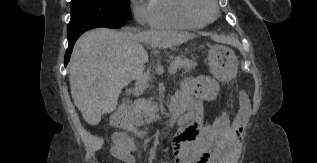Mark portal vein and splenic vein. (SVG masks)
<instances>
[{
    "label": "portal vein and splenic vein",
    "instance_id": "18ae733b",
    "mask_svg": "<svg viewBox=\"0 0 317 163\" xmlns=\"http://www.w3.org/2000/svg\"><path fill=\"white\" fill-rule=\"evenodd\" d=\"M169 71H170V73H173V74L176 72V70L174 68H169Z\"/></svg>",
    "mask_w": 317,
    "mask_h": 163
}]
</instances>
